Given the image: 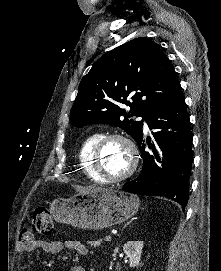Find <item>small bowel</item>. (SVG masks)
Returning <instances> with one entry per match:
<instances>
[{"label": "small bowel", "instance_id": "small-bowel-1", "mask_svg": "<svg viewBox=\"0 0 221 271\" xmlns=\"http://www.w3.org/2000/svg\"><path fill=\"white\" fill-rule=\"evenodd\" d=\"M36 249H40L46 253L55 255L62 252L64 249H70L80 255H86L88 253L87 247L79 240H45V239H32L29 242H20L16 246L18 253H30ZM69 271H85L81 265H73Z\"/></svg>", "mask_w": 221, "mask_h": 271}]
</instances>
